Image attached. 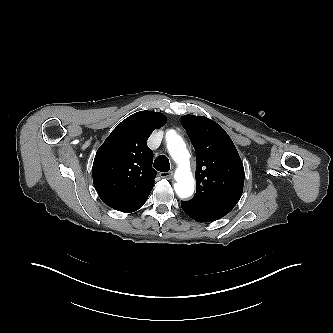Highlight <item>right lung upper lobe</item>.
Segmentation results:
<instances>
[{
    "label": "right lung upper lobe",
    "mask_w": 333,
    "mask_h": 333,
    "mask_svg": "<svg viewBox=\"0 0 333 333\" xmlns=\"http://www.w3.org/2000/svg\"><path fill=\"white\" fill-rule=\"evenodd\" d=\"M166 121L160 112H137L123 120L97 150L93 183L105 204L130 213L146 202L157 174L146 141Z\"/></svg>",
    "instance_id": "right-lung-upper-lobe-1"
}]
</instances>
